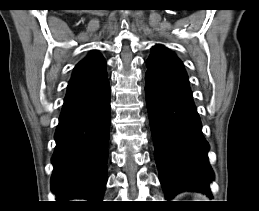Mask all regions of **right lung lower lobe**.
<instances>
[{"label":"right lung lower lobe","mask_w":259,"mask_h":211,"mask_svg":"<svg viewBox=\"0 0 259 211\" xmlns=\"http://www.w3.org/2000/svg\"><path fill=\"white\" fill-rule=\"evenodd\" d=\"M110 86L84 98L64 102L55 132L51 188L57 201H100L107 182Z\"/></svg>","instance_id":"1"}]
</instances>
